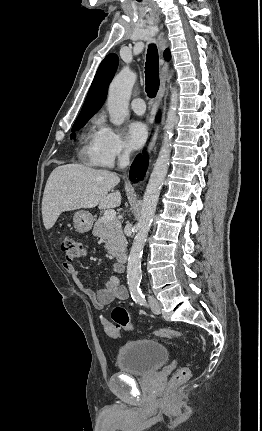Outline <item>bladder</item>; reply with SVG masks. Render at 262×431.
Returning a JSON list of instances; mask_svg holds the SVG:
<instances>
[{
  "label": "bladder",
  "mask_w": 262,
  "mask_h": 431,
  "mask_svg": "<svg viewBox=\"0 0 262 431\" xmlns=\"http://www.w3.org/2000/svg\"><path fill=\"white\" fill-rule=\"evenodd\" d=\"M168 358V350L162 343L150 339H137L119 350L116 363L121 372L146 375L160 368Z\"/></svg>",
  "instance_id": "obj_1"
}]
</instances>
